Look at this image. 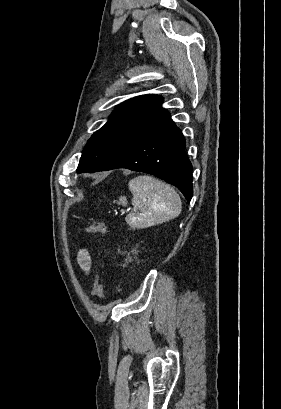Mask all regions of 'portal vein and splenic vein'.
Wrapping results in <instances>:
<instances>
[{
    "mask_svg": "<svg viewBox=\"0 0 281 409\" xmlns=\"http://www.w3.org/2000/svg\"><path fill=\"white\" fill-rule=\"evenodd\" d=\"M120 213H121V214H126V213H127V210H126V209H121V210H120Z\"/></svg>",
    "mask_w": 281,
    "mask_h": 409,
    "instance_id": "portal-vein-and-splenic-vein-1",
    "label": "portal vein and splenic vein"
}]
</instances>
